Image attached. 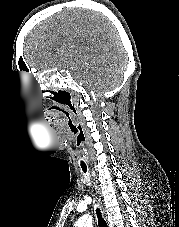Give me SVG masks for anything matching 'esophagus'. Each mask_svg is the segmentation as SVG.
Wrapping results in <instances>:
<instances>
[{"instance_id": "34e87169", "label": "esophagus", "mask_w": 179, "mask_h": 227, "mask_svg": "<svg viewBox=\"0 0 179 227\" xmlns=\"http://www.w3.org/2000/svg\"><path fill=\"white\" fill-rule=\"evenodd\" d=\"M94 189H95V194H96V198H97V201L99 203V206L101 208V211L105 217V219L107 218L106 216V208H105V205H104V201H103V198H102V193H101V189H100V186L98 184V181L94 178Z\"/></svg>"}]
</instances>
